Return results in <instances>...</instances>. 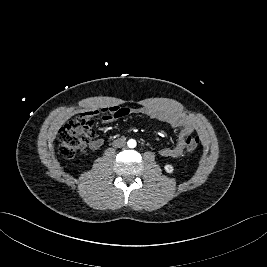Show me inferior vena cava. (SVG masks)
Here are the masks:
<instances>
[{"label":"inferior vena cava","instance_id":"602c4592","mask_svg":"<svg viewBox=\"0 0 267 267\" xmlns=\"http://www.w3.org/2000/svg\"><path fill=\"white\" fill-rule=\"evenodd\" d=\"M126 144L125 139L119 138L113 141V147L115 148H121L124 147Z\"/></svg>","mask_w":267,"mask_h":267}]
</instances>
